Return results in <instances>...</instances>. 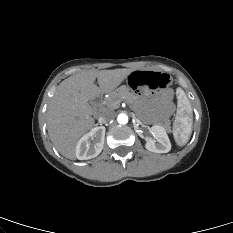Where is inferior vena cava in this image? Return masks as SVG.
<instances>
[{"mask_svg": "<svg viewBox=\"0 0 233 233\" xmlns=\"http://www.w3.org/2000/svg\"><path fill=\"white\" fill-rule=\"evenodd\" d=\"M113 118H114V112L107 110L101 114L98 121L100 124H105V123L111 121Z\"/></svg>", "mask_w": 233, "mask_h": 233, "instance_id": "602c4592", "label": "inferior vena cava"}]
</instances>
